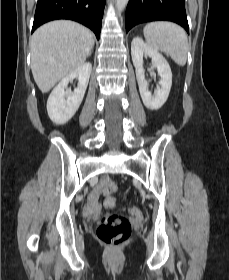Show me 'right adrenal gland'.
<instances>
[{"label": "right adrenal gland", "mask_w": 229, "mask_h": 280, "mask_svg": "<svg viewBox=\"0 0 229 280\" xmlns=\"http://www.w3.org/2000/svg\"><path fill=\"white\" fill-rule=\"evenodd\" d=\"M91 53H92V49H91V51H90V53H89V56L91 55Z\"/></svg>", "instance_id": "obj_1"}]
</instances>
